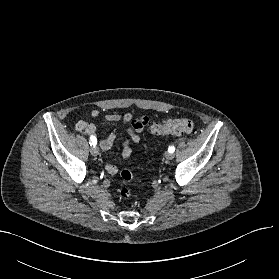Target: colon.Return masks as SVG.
<instances>
[{"mask_svg":"<svg viewBox=\"0 0 279 279\" xmlns=\"http://www.w3.org/2000/svg\"><path fill=\"white\" fill-rule=\"evenodd\" d=\"M195 129V123L189 118L170 119L165 122H153L150 125V131L154 135H182L193 132ZM121 178L130 182L134 180L132 172L128 169H124L120 173ZM120 197L126 199L130 197L131 190L128 187H122L119 191Z\"/></svg>","mask_w":279,"mask_h":279,"instance_id":"5ec220e1","label":"colon"}]
</instances>
